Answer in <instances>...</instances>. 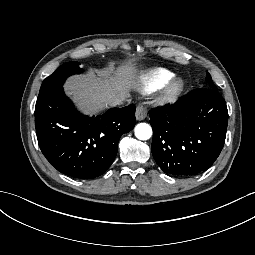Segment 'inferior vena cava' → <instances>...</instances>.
<instances>
[{
  "label": "inferior vena cava",
  "instance_id": "obj_1",
  "mask_svg": "<svg viewBox=\"0 0 255 255\" xmlns=\"http://www.w3.org/2000/svg\"><path fill=\"white\" fill-rule=\"evenodd\" d=\"M124 100H125V99H123V98L115 97V98H111V99L108 101V104H109L111 107H116V106L122 105Z\"/></svg>",
  "mask_w": 255,
  "mask_h": 255
}]
</instances>
